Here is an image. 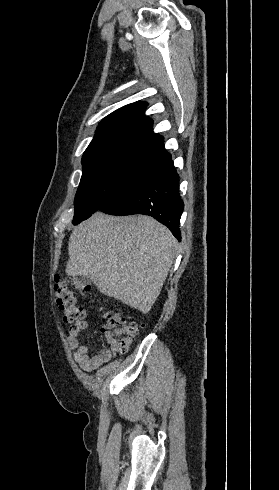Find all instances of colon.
Returning a JSON list of instances; mask_svg holds the SVG:
<instances>
[{
  "mask_svg": "<svg viewBox=\"0 0 279 490\" xmlns=\"http://www.w3.org/2000/svg\"><path fill=\"white\" fill-rule=\"evenodd\" d=\"M75 287L82 295H88L90 285L76 280L72 282L69 277L57 276L54 280L55 300L63 312V322L71 324L84 319L86 312L77 304V298L74 294ZM108 326L104 331L105 338H108L110 347L117 353H123L128 350L134 341L137 329L134 326L126 325L124 320L111 313L105 312Z\"/></svg>",
  "mask_w": 279,
  "mask_h": 490,
  "instance_id": "5ec220e1",
  "label": "colon"
}]
</instances>
